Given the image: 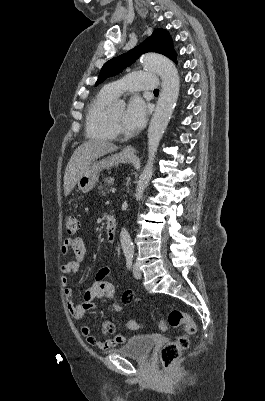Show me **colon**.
I'll use <instances>...</instances> for the list:
<instances>
[{"instance_id": "obj_1", "label": "colon", "mask_w": 265, "mask_h": 401, "mask_svg": "<svg viewBox=\"0 0 265 401\" xmlns=\"http://www.w3.org/2000/svg\"><path fill=\"white\" fill-rule=\"evenodd\" d=\"M79 229V220L77 217L71 215L66 219V230L69 234H75ZM130 329H137L139 324L136 320L131 319L128 322ZM179 327L183 326L185 334L179 336L174 341H171L163 346L160 352V360L162 366L167 369L172 366L178 358L181 356L182 352L186 350L189 346V335L196 332V324L194 320L186 313L180 310H172L167 317L166 321H161L159 323V328L161 330H166L167 327Z\"/></svg>"}]
</instances>
